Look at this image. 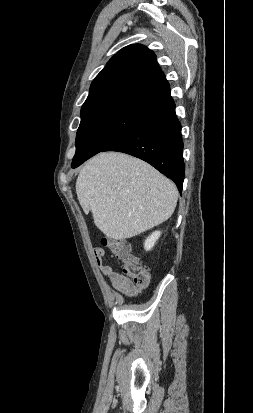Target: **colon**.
I'll list each match as a JSON object with an SVG mask.
<instances>
[{"label": "colon", "instance_id": "obj_1", "mask_svg": "<svg viewBox=\"0 0 253 413\" xmlns=\"http://www.w3.org/2000/svg\"><path fill=\"white\" fill-rule=\"evenodd\" d=\"M102 244L122 261L124 274L138 285L145 287L149 282V272L132 253L130 245L125 240L104 237Z\"/></svg>", "mask_w": 253, "mask_h": 413}]
</instances>
